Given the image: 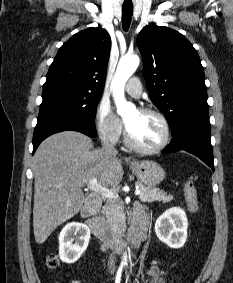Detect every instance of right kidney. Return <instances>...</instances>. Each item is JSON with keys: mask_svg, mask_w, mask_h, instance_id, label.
I'll return each instance as SVG.
<instances>
[{"mask_svg": "<svg viewBox=\"0 0 233 283\" xmlns=\"http://www.w3.org/2000/svg\"><path fill=\"white\" fill-rule=\"evenodd\" d=\"M90 240L88 226L71 222L64 226L59 235V256L68 264L76 262L86 250Z\"/></svg>", "mask_w": 233, "mask_h": 283, "instance_id": "ca27d5eb", "label": "right kidney"}]
</instances>
